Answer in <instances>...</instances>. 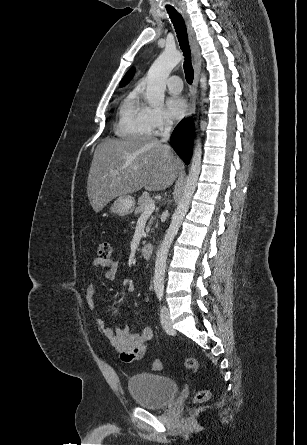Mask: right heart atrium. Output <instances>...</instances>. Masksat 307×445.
I'll use <instances>...</instances> for the list:
<instances>
[{"label": "right heart atrium", "instance_id": "right-heart-atrium-1", "mask_svg": "<svg viewBox=\"0 0 307 445\" xmlns=\"http://www.w3.org/2000/svg\"><path fill=\"white\" fill-rule=\"evenodd\" d=\"M143 124L152 135H159L168 130L171 120L163 109L147 104L143 113Z\"/></svg>", "mask_w": 307, "mask_h": 445}]
</instances>
